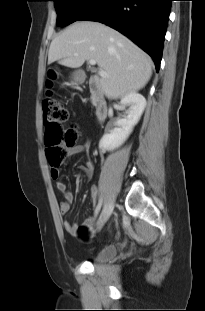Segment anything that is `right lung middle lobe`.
Returning <instances> with one entry per match:
<instances>
[{"label":"right lung middle lobe","mask_w":205,"mask_h":311,"mask_svg":"<svg viewBox=\"0 0 205 311\" xmlns=\"http://www.w3.org/2000/svg\"><path fill=\"white\" fill-rule=\"evenodd\" d=\"M57 11L58 26L64 27L91 10L99 0H53Z\"/></svg>","instance_id":"obj_1"}]
</instances>
